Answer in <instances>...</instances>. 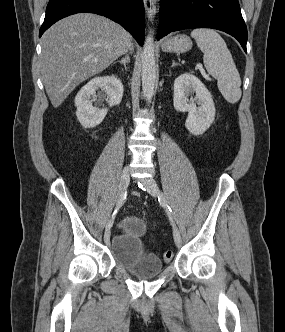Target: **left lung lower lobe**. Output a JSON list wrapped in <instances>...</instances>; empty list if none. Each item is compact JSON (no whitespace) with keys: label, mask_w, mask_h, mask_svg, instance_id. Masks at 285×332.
I'll list each match as a JSON object with an SVG mask.
<instances>
[{"label":"left lung lower lobe","mask_w":285,"mask_h":332,"mask_svg":"<svg viewBox=\"0 0 285 332\" xmlns=\"http://www.w3.org/2000/svg\"><path fill=\"white\" fill-rule=\"evenodd\" d=\"M157 39L182 29L213 28L235 37L246 51L247 27L238 0H162Z\"/></svg>","instance_id":"0a47b994"}]
</instances>
